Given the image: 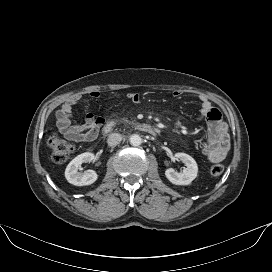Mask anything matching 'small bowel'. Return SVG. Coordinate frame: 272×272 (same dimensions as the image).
Segmentation results:
<instances>
[{"mask_svg": "<svg viewBox=\"0 0 272 272\" xmlns=\"http://www.w3.org/2000/svg\"><path fill=\"white\" fill-rule=\"evenodd\" d=\"M181 91H174L175 97L181 96ZM92 99H99L101 93L98 91L90 92ZM127 98L137 103L140 97L137 93H128ZM80 101V96L69 97L56 113V124L59 132L68 140L82 143L91 142L98 136L100 126L104 119L99 115L88 113L83 123L76 122L72 116V108ZM201 109L199 121L207 126V138L201 144L203 155L211 163H220L228 155L230 139L226 123L222 120L221 112L213 107L209 100L200 97Z\"/></svg>", "mask_w": 272, "mask_h": 272, "instance_id": "1", "label": "small bowel"}]
</instances>
